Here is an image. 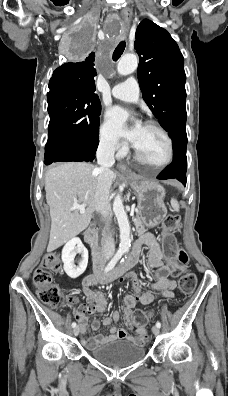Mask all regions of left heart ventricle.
<instances>
[{
    "label": "left heart ventricle",
    "instance_id": "left-heart-ventricle-1",
    "mask_svg": "<svg viewBox=\"0 0 228 396\" xmlns=\"http://www.w3.org/2000/svg\"><path fill=\"white\" fill-rule=\"evenodd\" d=\"M134 146L152 164L163 163L169 153L168 142L156 129L142 125Z\"/></svg>",
    "mask_w": 228,
    "mask_h": 396
}]
</instances>
